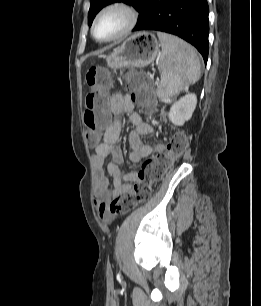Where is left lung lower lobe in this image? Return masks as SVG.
Wrapping results in <instances>:
<instances>
[{"label":"left lung lower lobe","mask_w":261,"mask_h":306,"mask_svg":"<svg viewBox=\"0 0 261 306\" xmlns=\"http://www.w3.org/2000/svg\"><path fill=\"white\" fill-rule=\"evenodd\" d=\"M207 0H147L133 31L157 30L191 43L208 60Z\"/></svg>","instance_id":"left-lung-lower-lobe-1"}]
</instances>
